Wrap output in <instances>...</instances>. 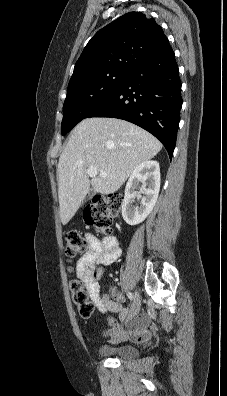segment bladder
<instances>
[{"label": "bladder", "mask_w": 227, "mask_h": 396, "mask_svg": "<svg viewBox=\"0 0 227 396\" xmlns=\"http://www.w3.org/2000/svg\"><path fill=\"white\" fill-rule=\"evenodd\" d=\"M97 354L102 357H115L118 359H132L137 356V350L131 346H99Z\"/></svg>", "instance_id": "31cf9c89"}]
</instances>
